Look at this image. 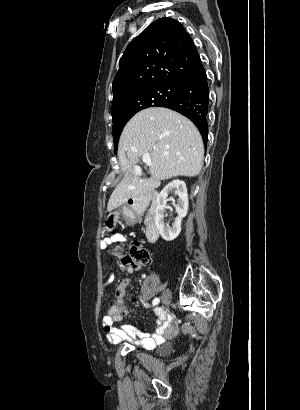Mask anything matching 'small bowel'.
<instances>
[{
	"label": "small bowel",
	"mask_w": 300,
	"mask_h": 410,
	"mask_svg": "<svg viewBox=\"0 0 300 410\" xmlns=\"http://www.w3.org/2000/svg\"><path fill=\"white\" fill-rule=\"evenodd\" d=\"M119 239V238H115ZM114 273H109L104 278V283L108 284L114 280ZM130 280L124 279L115 290V300L107 310L106 315L102 318L101 325L107 334V339L111 344H118L122 341H134L140 343L146 348H152L157 343L173 337L177 332V326L173 322V316L162 308H156L155 312L158 316L157 327L154 334L143 332L138 340H133L131 335L134 330L129 325H122L115 328L114 324L121 321L127 315L129 308L125 302L126 288Z\"/></svg>",
	"instance_id": "small-bowel-1"
}]
</instances>
